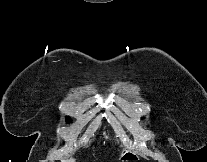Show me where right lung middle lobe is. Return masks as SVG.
<instances>
[{
    "label": "right lung middle lobe",
    "instance_id": "obj_1",
    "mask_svg": "<svg viewBox=\"0 0 207 162\" xmlns=\"http://www.w3.org/2000/svg\"><path fill=\"white\" fill-rule=\"evenodd\" d=\"M71 120H70V118H67V122H70Z\"/></svg>",
    "mask_w": 207,
    "mask_h": 162
}]
</instances>
